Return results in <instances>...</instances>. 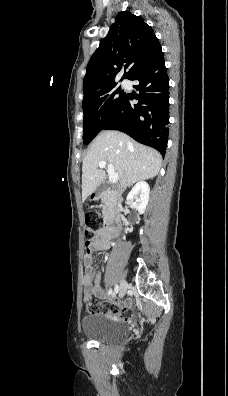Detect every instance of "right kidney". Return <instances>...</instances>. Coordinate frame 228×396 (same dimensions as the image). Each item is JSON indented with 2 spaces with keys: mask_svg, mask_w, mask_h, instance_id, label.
Masks as SVG:
<instances>
[{
  "mask_svg": "<svg viewBox=\"0 0 228 396\" xmlns=\"http://www.w3.org/2000/svg\"><path fill=\"white\" fill-rule=\"evenodd\" d=\"M150 194L149 185L145 181L138 182L127 196V202L140 214L145 212Z\"/></svg>",
  "mask_w": 228,
  "mask_h": 396,
  "instance_id": "obj_1",
  "label": "right kidney"
}]
</instances>
